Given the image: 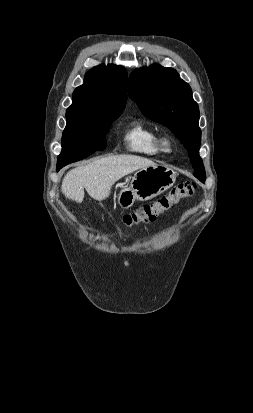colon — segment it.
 <instances>
[{
    "label": "colon",
    "mask_w": 253,
    "mask_h": 413,
    "mask_svg": "<svg viewBox=\"0 0 253 413\" xmlns=\"http://www.w3.org/2000/svg\"><path fill=\"white\" fill-rule=\"evenodd\" d=\"M196 189L197 185L193 181L180 182L156 201L141 206L130 214L124 215L123 223L128 229H134L142 223L152 222L157 216L169 210L181 199L192 197ZM89 227L92 228L90 224Z\"/></svg>",
    "instance_id": "5ec220e1"
}]
</instances>
